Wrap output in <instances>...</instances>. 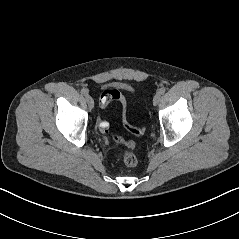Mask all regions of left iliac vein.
Returning <instances> with one entry per match:
<instances>
[{
	"mask_svg": "<svg viewBox=\"0 0 239 239\" xmlns=\"http://www.w3.org/2000/svg\"><path fill=\"white\" fill-rule=\"evenodd\" d=\"M161 95L157 93L153 98V105L156 106L160 101Z\"/></svg>",
	"mask_w": 239,
	"mask_h": 239,
	"instance_id": "obj_1",
	"label": "left iliac vein"
}]
</instances>
